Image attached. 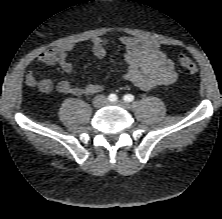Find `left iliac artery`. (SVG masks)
<instances>
[{"label": "left iliac artery", "instance_id": "left-iliac-artery-1", "mask_svg": "<svg viewBox=\"0 0 222 219\" xmlns=\"http://www.w3.org/2000/svg\"><path fill=\"white\" fill-rule=\"evenodd\" d=\"M123 100L126 102H132L134 100V96L131 94H127L123 97Z\"/></svg>", "mask_w": 222, "mask_h": 219}]
</instances>
